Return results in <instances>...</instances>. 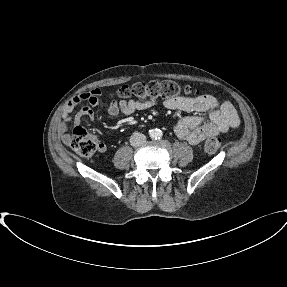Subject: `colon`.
I'll return each instance as SVG.
<instances>
[{
	"mask_svg": "<svg viewBox=\"0 0 287 287\" xmlns=\"http://www.w3.org/2000/svg\"><path fill=\"white\" fill-rule=\"evenodd\" d=\"M198 90L188 85H180L171 80L151 81L125 86L118 91V96L126 101H156L159 98L172 99L175 97L191 98L198 95ZM71 148L81 157L90 158L101 147L98 137L81 127L73 130L70 138ZM221 146V140L216 137L209 138L204 150L207 153L216 152Z\"/></svg>",
	"mask_w": 287,
	"mask_h": 287,
	"instance_id": "5ec220e1",
	"label": "colon"
}]
</instances>
